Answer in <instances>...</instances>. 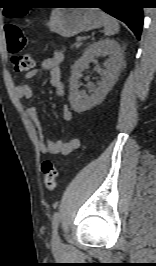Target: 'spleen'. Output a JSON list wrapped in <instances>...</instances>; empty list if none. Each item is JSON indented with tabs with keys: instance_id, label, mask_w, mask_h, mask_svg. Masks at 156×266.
Segmentation results:
<instances>
[{
	"instance_id": "spleen-1",
	"label": "spleen",
	"mask_w": 156,
	"mask_h": 266,
	"mask_svg": "<svg viewBox=\"0 0 156 266\" xmlns=\"http://www.w3.org/2000/svg\"><path fill=\"white\" fill-rule=\"evenodd\" d=\"M102 17L104 20V34L105 36H111L116 34L119 31V24L110 15L102 12Z\"/></svg>"
}]
</instances>
